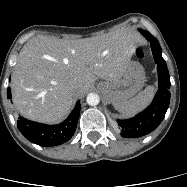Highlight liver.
<instances>
[{"label":"liver","instance_id":"6515ba94","mask_svg":"<svg viewBox=\"0 0 187 187\" xmlns=\"http://www.w3.org/2000/svg\"><path fill=\"white\" fill-rule=\"evenodd\" d=\"M138 40L129 30L78 40L33 37L19 52L12 76L16 109L33 121H61L74 98L92 88L97 78L116 81L123 76Z\"/></svg>","mask_w":187,"mask_h":187}]
</instances>
